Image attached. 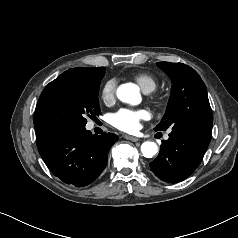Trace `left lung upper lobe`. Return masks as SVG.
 <instances>
[{
	"instance_id": "1",
	"label": "left lung upper lobe",
	"mask_w": 238,
	"mask_h": 238,
	"mask_svg": "<svg viewBox=\"0 0 238 238\" xmlns=\"http://www.w3.org/2000/svg\"><path fill=\"white\" fill-rule=\"evenodd\" d=\"M172 81L171 95L156 131L182 130L211 137L213 115L207 89L199 74L183 63L157 62Z\"/></svg>"
}]
</instances>
